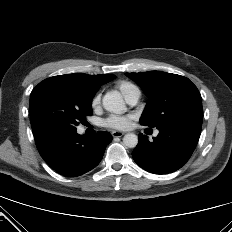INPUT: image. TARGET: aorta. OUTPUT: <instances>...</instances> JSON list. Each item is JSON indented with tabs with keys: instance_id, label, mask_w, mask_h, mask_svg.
I'll list each match as a JSON object with an SVG mask.
<instances>
[{
	"instance_id": "aorta-1",
	"label": "aorta",
	"mask_w": 232,
	"mask_h": 232,
	"mask_svg": "<svg viewBox=\"0 0 232 232\" xmlns=\"http://www.w3.org/2000/svg\"><path fill=\"white\" fill-rule=\"evenodd\" d=\"M105 110L115 113L123 114L126 112V106L120 93L113 91L105 94L102 100ZM123 143L128 148H134L138 144V137L134 133H127L123 137Z\"/></svg>"
}]
</instances>
